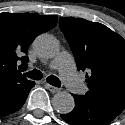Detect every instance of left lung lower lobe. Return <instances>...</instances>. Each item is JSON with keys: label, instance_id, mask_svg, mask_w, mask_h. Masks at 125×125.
Returning a JSON list of instances; mask_svg holds the SVG:
<instances>
[{"label": "left lung lower lobe", "instance_id": "left-lung-lower-lobe-1", "mask_svg": "<svg viewBox=\"0 0 125 125\" xmlns=\"http://www.w3.org/2000/svg\"><path fill=\"white\" fill-rule=\"evenodd\" d=\"M74 109L61 118L71 125H108L125 108V101L114 97L90 98L74 95Z\"/></svg>", "mask_w": 125, "mask_h": 125}]
</instances>
